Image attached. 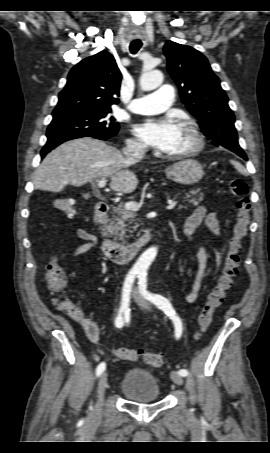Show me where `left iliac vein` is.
I'll return each instance as SVG.
<instances>
[{
  "mask_svg": "<svg viewBox=\"0 0 270 453\" xmlns=\"http://www.w3.org/2000/svg\"><path fill=\"white\" fill-rule=\"evenodd\" d=\"M132 297L134 301L144 310L150 311L151 306L150 303L141 295V293L137 289L132 290ZM172 381L177 385L183 384V377L177 373L176 371H172L170 374Z\"/></svg>",
  "mask_w": 270,
  "mask_h": 453,
  "instance_id": "obj_1",
  "label": "left iliac vein"
}]
</instances>
